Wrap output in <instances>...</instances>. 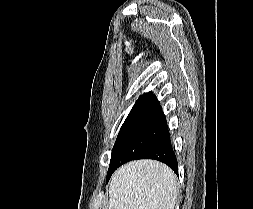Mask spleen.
<instances>
[{
	"instance_id": "3e777b00",
	"label": "spleen",
	"mask_w": 253,
	"mask_h": 209,
	"mask_svg": "<svg viewBox=\"0 0 253 209\" xmlns=\"http://www.w3.org/2000/svg\"><path fill=\"white\" fill-rule=\"evenodd\" d=\"M177 181L166 165L141 160L119 168L109 187V209H174Z\"/></svg>"
}]
</instances>
